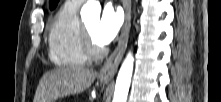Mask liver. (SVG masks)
<instances>
[{"label":"liver","instance_id":"obj_1","mask_svg":"<svg viewBox=\"0 0 221 102\" xmlns=\"http://www.w3.org/2000/svg\"><path fill=\"white\" fill-rule=\"evenodd\" d=\"M97 72L80 67L57 68L46 72L37 87L33 102H54L58 98L87 90Z\"/></svg>","mask_w":221,"mask_h":102}]
</instances>
